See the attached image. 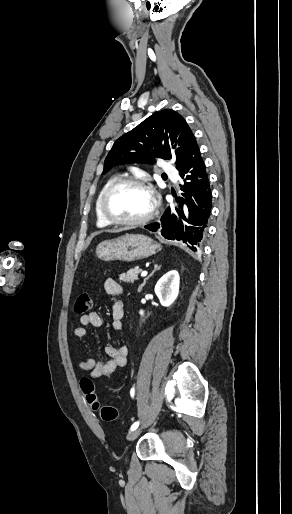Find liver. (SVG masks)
Returning a JSON list of instances; mask_svg holds the SVG:
<instances>
[{
    "label": "liver",
    "mask_w": 292,
    "mask_h": 514,
    "mask_svg": "<svg viewBox=\"0 0 292 514\" xmlns=\"http://www.w3.org/2000/svg\"><path fill=\"white\" fill-rule=\"evenodd\" d=\"M126 228H119V230H107V232H123Z\"/></svg>",
    "instance_id": "obj_1"
}]
</instances>
